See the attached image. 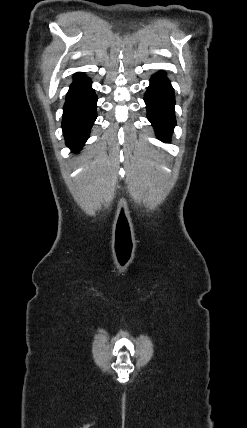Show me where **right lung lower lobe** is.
Instances as JSON below:
<instances>
[{
	"mask_svg": "<svg viewBox=\"0 0 247 428\" xmlns=\"http://www.w3.org/2000/svg\"><path fill=\"white\" fill-rule=\"evenodd\" d=\"M91 80L83 73L74 74V81L63 107L62 129L67 146L77 152L89 137L97 117V96Z\"/></svg>",
	"mask_w": 247,
	"mask_h": 428,
	"instance_id": "1",
	"label": "right lung lower lobe"
}]
</instances>
